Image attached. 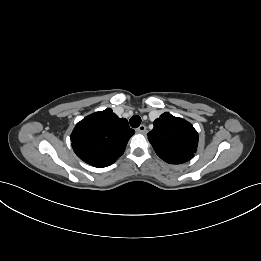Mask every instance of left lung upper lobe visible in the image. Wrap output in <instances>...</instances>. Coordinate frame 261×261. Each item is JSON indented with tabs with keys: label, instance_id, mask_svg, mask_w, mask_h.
Listing matches in <instances>:
<instances>
[{
	"label": "left lung upper lobe",
	"instance_id": "obj_1",
	"mask_svg": "<svg viewBox=\"0 0 261 261\" xmlns=\"http://www.w3.org/2000/svg\"><path fill=\"white\" fill-rule=\"evenodd\" d=\"M156 154L170 164L189 161L198 145V133L186 120L163 113L147 134Z\"/></svg>",
	"mask_w": 261,
	"mask_h": 261
}]
</instances>
